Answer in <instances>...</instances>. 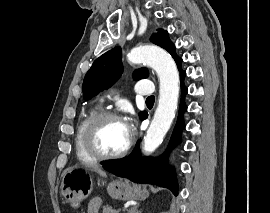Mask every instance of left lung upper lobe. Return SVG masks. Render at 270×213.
<instances>
[{"label":"left lung upper lobe","mask_w":270,"mask_h":213,"mask_svg":"<svg viewBox=\"0 0 270 213\" xmlns=\"http://www.w3.org/2000/svg\"><path fill=\"white\" fill-rule=\"evenodd\" d=\"M152 42L167 50L177 63L179 71H181L182 59L175 53V47L168 37V33L160 30L159 33L153 34ZM121 48L115 47L105 52L94 61L91 68L87 72L83 83V96L90 99L100 91L109 88L122 74ZM149 72L146 68L135 70L134 78L136 80L147 78ZM147 113L141 112L140 117L143 119Z\"/></svg>","instance_id":"1"}]
</instances>
